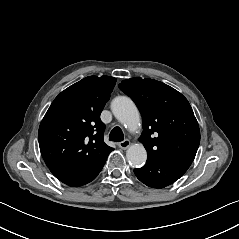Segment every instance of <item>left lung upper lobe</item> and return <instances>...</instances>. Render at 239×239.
<instances>
[{
    "label": "left lung upper lobe",
    "instance_id": "5c2ea615",
    "mask_svg": "<svg viewBox=\"0 0 239 239\" xmlns=\"http://www.w3.org/2000/svg\"><path fill=\"white\" fill-rule=\"evenodd\" d=\"M118 86L141 112L143 132L139 141L147 150L148 160H194L200 130L181 93L162 82L140 77L124 80Z\"/></svg>",
    "mask_w": 239,
    "mask_h": 239
}]
</instances>
